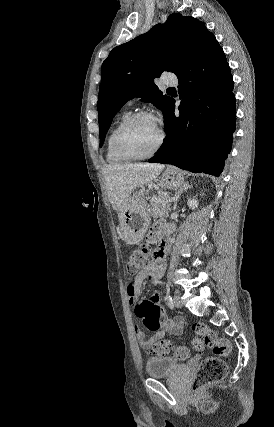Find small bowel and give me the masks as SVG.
Returning a JSON list of instances; mask_svg holds the SVG:
<instances>
[{
    "mask_svg": "<svg viewBox=\"0 0 274 427\" xmlns=\"http://www.w3.org/2000/svg\"><path fill=\"white\" fill-rule=\"evenodd\" d=\"M167 225L170 226L168 231L172 232L174 230L173 225L161 222L152 227L150 237H159ZM166 267L167 263L165 259L154 260L146 270L132 279L127 286V302L130 305L135 304L141 295L143 283L147 280L160 279ZM150 296L151 299H140L138 311H134L132 315L135 325V335L143 350H150L159 339L168 334L181 335L184 326V319L180 316L170 318L164 315L161 318V313L164 312L165 308L162 300L158 299L159 291L157 289H152ZM139 327H147L148 331L157 333L148 338Z\"/></svg>",
    "mask_w": 274,
    "mask_h": 427,
    "instance_id": "1",
    "label": "small bowel"
}]
</instances>
